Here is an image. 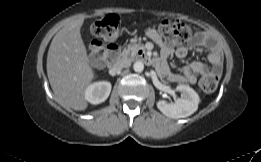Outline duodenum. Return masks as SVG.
Returning <instances> with one entry per match:
<instances>
[{
  "label": "duodenum",
  "instance_id": "obj_1",
  "mask_svg": "<svg viewBox=\"0 0 261 162\" xmlns=\"http://www.w3.org/2000/svg\"><path fill=\"white\" fill-rule=\"evenodd\" d=\"M106 58L109 59L111 64V69L112 71H114L116 69L115 64L122 59V57L120 56V51L118 46H116L115 44L109 45L108 48L106 49ZM145 61L157 68L164 65V63H159L158 60H151L145 58Z\"/></svg>",
  "mask_w": 261,
  "mask_h": 162
}]
</instances>
